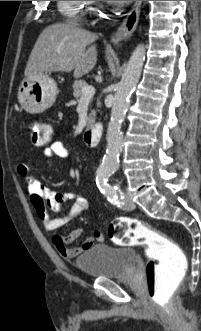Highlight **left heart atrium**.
<instances>
[{
    "instance_id": "39dd6f15",
    "label": "left heart atrium",
    "mask_w": 201,
    "mask_h": 331,
    "mask_svg": "<svg viewBox=\"0 0 201 331\" xmlns=\"http://www.w3.org/2000/svg\"><path fill=\"white\" fill-rule=\"evenodd\" d=\"M113 4H116V5H125V4H128L129 2L131 1H109Z\"/></svg>"
}]
</instances>
